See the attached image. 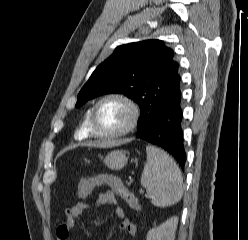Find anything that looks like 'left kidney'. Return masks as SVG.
Masks as SVG:
<instances>
[{"mask_svg":"<svg viewBox=\"0 0 248 240\" xmlns=\"http://www.w3.org/2000/svg\"><path fill=\"white\" fill-rule=\"evenodd\" d=\"M178 225V217H171L157 228L151 229L147 240H174Z\"/></svg>","mask_w":248,"mask_h":240,"instance_id":"obj_1","label":"left kidney"}]
</instances>
